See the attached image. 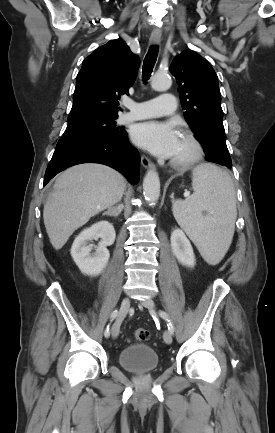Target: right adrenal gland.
Here are the masks:
<instances>
[{
	"mask_svg": "<svg viewBox=\"0 0 275 433\" xmlns=\"http://www.w3.org/2000/svg\"><path fill=\"white\" fill-rule=\"evenodd\" d=\"M123 208H124L123 204L120 203L116 206L110 207L106 212L103 213V215L117 217L121 214Z\"/></svg>",
	"mask_w": 275,
	"mask_h": 433,
	"instance_id": "2a0ac1e0",
	"label": "right adrenal gland"
}]
</instances>
